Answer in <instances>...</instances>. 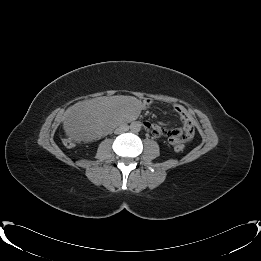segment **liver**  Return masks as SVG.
<instances>
[{"mask_svg":"<svg viewBox=\"0 0 261 261\" xmlns=\"http://www.w3.org/2000/svg\"><path fill=\"white\" fill-rule=\"evenodd\" d=\"M138 111V103L130 97L94 98L79 102L64 128L73 138H80L101 131L107 125H115L116 116L124 120L133 119Z\"/></svg>","mask_w":261,"mask_h":261,"instance_id":"1","label":"liver"}]
</instances>
